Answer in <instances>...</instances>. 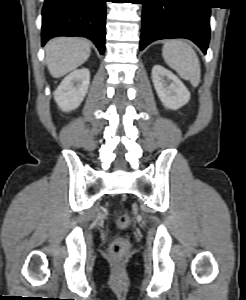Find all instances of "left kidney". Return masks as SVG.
<instances>
[{"label":"left kidney","instance_id":"5707ae66","mask_svg":"<svg viewBox=\"0 0 246 300\" xmlns=\"http://www.w3.org/2000/svg\"><path fill=\"white\" fill-rule=\"evenodd\" d=\"M152 81L158 97L165 107L177 110L190 100V92L182 81L161 65L153 67Z\"/></svg>","mask_w":246,"mask_h":300}]
</instances>
